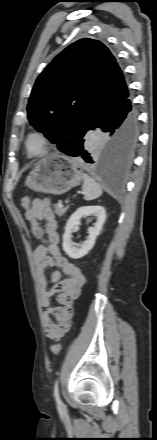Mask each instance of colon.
I'll use <instances>...</instances> for the list:
<instances>
[{
    "mask_svg": "<svg viewBox=\"0 0 157 440\" xmlns=\"http://www.w3.org/2000/svg\"><path fill=\"white\" fill-rule=\"evenodd\" d=\"M21 206L23 209L28 210L30 208V198L25 196L21 199ZM62 349V345L60 343H56L51 346V352L52 354L56 355L58 354Z\"/></svg>",
    "mask_w": 157,
    "mask_h": 440,
    "instance_id": "obj_1",
    "label": "colon"
}]
</instances>
